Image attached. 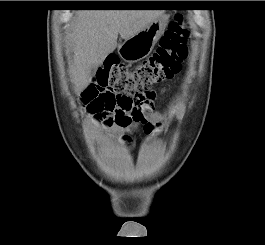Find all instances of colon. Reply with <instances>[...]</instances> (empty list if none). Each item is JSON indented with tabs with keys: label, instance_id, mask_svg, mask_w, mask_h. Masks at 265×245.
Listing matches in <instances>:
<instances>
[{
	"label": "colon",
	"instance_id": "1",
	"mask_svg": "<svg viewBox=\"0 0 265 245\" xmlns=\"http://www.w3.org/2000/svg\"><path fill=\"white\" fill-rule=\"evenodd\" d=\"M186 37L184 19L177 15L156 51L141 63L127 67L115 56L109 57L93 79L99 91L91 104L96 119L110 125L140 120L156 100L155 87L180 73L188 54Z\"/></svg>",
	"mask_w": 265,
	"mask_h": 245
}]
</instances>
